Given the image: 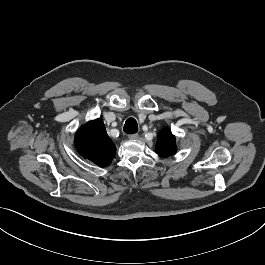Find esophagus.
<instances>
[{
    "label": "esophagus",
    "mask_w": 265,
    "mask_h": 265,
    "mask_svg": "<svg viewBox=\"0 0 265 265\" xmlns=\"http://www.w3.org/2000/svg\"><path fill=\"white\" fill-rule=\"evenodd\" d=\"M138 137H139L138 134H131V135H129V139L130 140H136V139H138Z\"/></svg>",
    "instance_id": "34e87169"
}]
</instances>
